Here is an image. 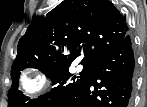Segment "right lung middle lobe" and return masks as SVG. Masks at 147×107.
<instances>
[{
  "label": "right lung middle lobe",
  "instance_id": "obj_1",
  "mask_svg": "<svg viewBox=\"0 0 147 107\" xmlns=\"http://www.w3.org/2000/svg\"><path fill=\"white\" fill-rule=\"evenodd\" d=\"M70 65L58 68L37 67L34 63H28L18 68H12V87L8 93V102L11 107H55L62 99L81 86L90 76L93 67L84 65L79 76H75L68 71ZM32 67L41 70L45 75L52 78L53 85L57 84L52 91L37 100L28 101L29 98L24 96L18 90V80L20 71L24 68Z\"/></svg>",
  "mask_w": 147,
  "mask_h": 107
}]
</instances>
